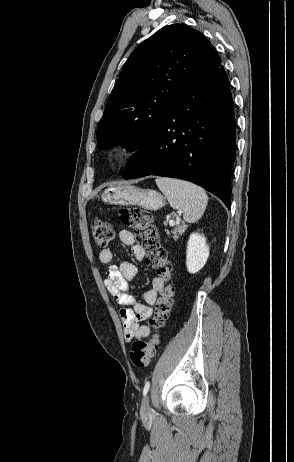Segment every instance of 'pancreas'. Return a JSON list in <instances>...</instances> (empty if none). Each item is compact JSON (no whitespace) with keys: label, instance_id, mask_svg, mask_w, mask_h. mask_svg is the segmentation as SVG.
Segmentation results:
<instances>
[{"label":"pancreas","instance_id":"1","mask_svg":"<svg viewBox=\"0 0 294 462\" xmlns=\"http://www.w3.org/2000/svg\"><path fill=\"white\" fill-rule=\"evenodd\" d=\"M187 226L185 224L178 225L176 228H174L171 233L173 234V239L178 240L179 235L183 234L186 230Z\"/></svg>","mask_w":294,"mask_h":462}]
</instances>
